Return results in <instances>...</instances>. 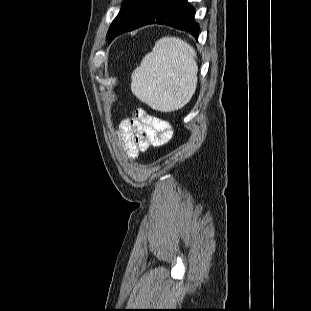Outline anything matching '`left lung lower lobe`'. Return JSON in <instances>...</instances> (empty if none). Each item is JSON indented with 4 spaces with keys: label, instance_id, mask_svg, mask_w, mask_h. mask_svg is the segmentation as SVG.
I'll return each mask as SVG.
<instances>
[{
    "label": "left lung lower lobe",
    "instance_id": "left-lung-lower-lobe-1",
    "mask_svg": "<svg viewBox=\"0 0 311 311\" xmlns=\"http://www.w3.org/2000/svg\"><path fill=\"white\" fill-rule=\"evenodd\" d=\"M187 0H127L116 17L109 43L119 34L149 24H164L186 31L195 38L199 25Z\"/></svg>",
    "mask_w": 311,
    "mask_h": 311
}]
</instances>
